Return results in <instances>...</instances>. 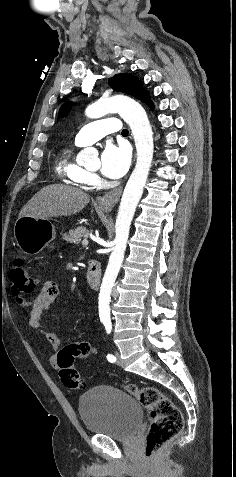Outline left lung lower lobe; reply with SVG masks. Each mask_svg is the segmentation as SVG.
Listing matches in <instances>:
<instances>
[{
	"label": "left lung lower lobe",
	"mask_w": 236,
	"mask_h": 477,
	"mask_svg": "<svg viewBox=\"0 0 236 477\" xmlns=\"http://www.w3.org/2000/svg\"><path fill=\"white\" fill-rule=\"evenodd\" d=\"M148 106L153 109V105L151 103L148 104Z\"/></svg>",
	"instance_id": "0a47b994"
}]
</instances>
